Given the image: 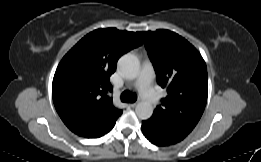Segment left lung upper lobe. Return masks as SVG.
Returning a JSON list of instances; mask_svg holds the SVG:
<instances>
[{
    "mask_svg": "<svg viewBox=\"0 0 261 162\" xmlns=\"http://www.w3.org/2000/svg\"><path fill=\"white\" fill-rule=\"evenodd\" d=\"M137 33L153 63L157 83L167 89L153 116L191 132L207 102V68L202 56L186 39L169 30Z\"/></svg>",
    "mask_w": 261,
    "mask_h": 162,
    "instance_id": "5c2ea615",
    "label": "left lung upper lobe"
}]
</instances>
